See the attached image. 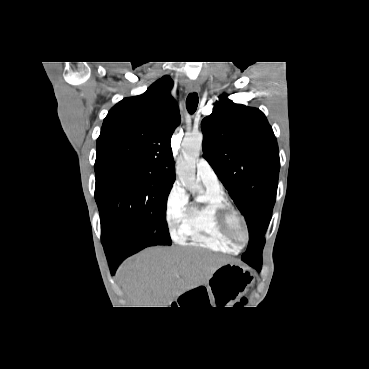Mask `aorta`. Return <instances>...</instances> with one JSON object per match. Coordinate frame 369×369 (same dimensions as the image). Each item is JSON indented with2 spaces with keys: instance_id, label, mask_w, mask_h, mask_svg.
I'll list each match as a JSON object with an SVG mask.
<instances>
[{
  "instance_id": "obj_1",
  "label": "aorta",
  "mask_w": 369,
  "mask_h": 369,
  "mask_svg": "<svg viewBox=\"0 0 369 369\" xmlns=\"http://www.w3.org/2000/svg\"><path fill=\"white\" fill-rule=\"evenodd\" d=\"M202 141L203 134L201 132L185 136L182 142V155L176 166L179 180L192 193L202 190V186L195 176V162L199 157Z\"/></svg>"
}]
</instances>
